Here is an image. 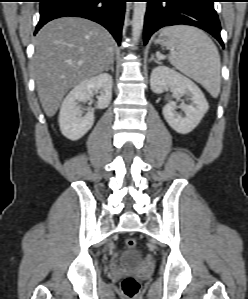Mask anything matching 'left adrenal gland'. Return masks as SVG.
<instances>
[{
  "label": "left adrenal gland",
  "instance_id": "1",
  "mask_svg": "<svg viewBox=\"0 0 248 299\" xmlns=\"http://www.w3.org/2000/svg\"><path fill=\"white\" fill-rule=\"evenodd\" d=\"M151 61H154L155 63L160 64V62L157 59H155L153 54L151 55V58L149 59V62H151Z\"/></svg>",
  "mask_w": 248,
  "mask_h": 299
}]
</instances>
